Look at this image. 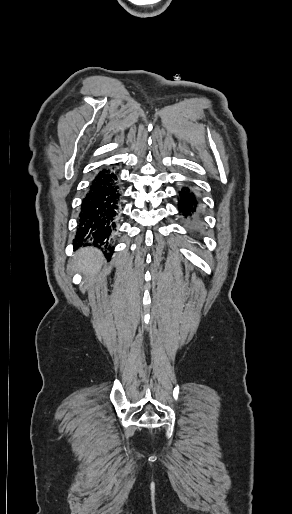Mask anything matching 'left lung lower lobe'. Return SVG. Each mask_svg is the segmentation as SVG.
<instances>
[{
	"label": "left lung lower lobe",
	"instance_id": "left-lung-lower-lobe-1",
	"mask_svg": "<svg viewBox=\"0 0 292 514\" xmlns=\"http://www.w3.org/2000/svg\"><path fill=\"white\" fill-rule=\"evenodd\" d=\"M180 215L190 226H196L200 220L199 199L189 186H183L177 195Z\"/></svg>",
	"mask_w": 292,
	"mask_h": 514
}]
</instances>
